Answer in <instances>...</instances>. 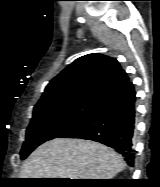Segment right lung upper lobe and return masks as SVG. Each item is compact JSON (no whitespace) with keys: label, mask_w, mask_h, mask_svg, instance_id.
<instances>
[{"label":"right lung upper lobe","mask_w":160,"mask_h":187,"mask_svg":"<svg viewBox=\"0 0 160 187\" xmlns=\"http://www.w3.org/2000/svg\"><path fill=\"white\" fill-rule=\"evenodd\" d=\"M128 81L129 77L116 59L88 54L76 59L53 78L34 108L76 100L98 101Z\"/></svg>","instance_id":"right-lung-upper-lobe-1"}]
</instances>
